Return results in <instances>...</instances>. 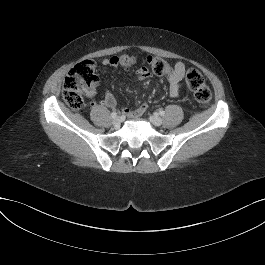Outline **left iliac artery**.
Instances as JSON below:
<instances>
[{"instance_id":"1","label":"left iliac artery","mask_w":265,"mask_h":265,"mask_svg":"<svg viewBox=\"0 0 265 265\" xmlns=\"http://www.w3.org/2000/svg\"><path fill=\"white\" fill-rule=\"evenodd\" d=\"M159 114H160L161 116H164L165 112H164L163 110H160V111H159Z\"/></svg>"}]
</instances>
